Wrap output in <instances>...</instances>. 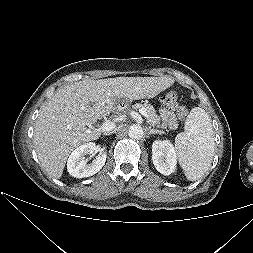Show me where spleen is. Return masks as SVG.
Returning <instances> with one entry per match:
<instances>
[{"label": "spleen", "instance_id": "spleen-1", "mask_svg": "<svg viewBox=\"0 0 253 253\" xmlns=\"http://www.w3.org/2000/svg\"><path fill=\"white\" fill-rule=\"evenodd\" d=\"M214 136L209 115L200 107L191 110L184 132L175 139L178 161L190 181L201 178L214 156Z\"/></svg>", "mask_w": 253, "mask_h": 253}]
</instances>
